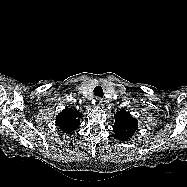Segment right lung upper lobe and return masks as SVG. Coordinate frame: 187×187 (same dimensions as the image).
Masks as SVG:
<instances>
[{"mask_svg":"<svg viewBox=\"0 0 187 187\" xmlns=\"http://www.w3.org/2000/svg\"><path fill=\"white\" fill-rule=\"evenodd\" d=\"M82 115L79 111L66 107L56 117V125L65 133H71L79 127V117Z\"/></svg>","mask_w":187,"mask_h":187,"instance_id":"right-lung-upper-lobe-1","label":"right lung upper lobe"}]
</instances>
